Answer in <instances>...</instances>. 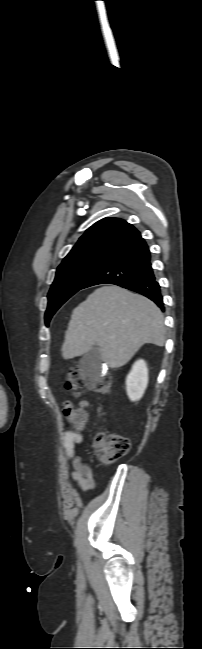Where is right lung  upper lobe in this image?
Wrapping results in <instances>:
<instances>
[{"mask_svg":"<svg viewBox=\"0 0 202 649\" xmlns=\"http://www.w3.org/2000/svg\"><path fill=\"white\" fill-rule=\"evenodd\" d=\"M143 240L140 232L126 221L104 218L86 230L65 258L88 252H108L116 255Z\"/></svg>","mask_w":202,"mask_h":649,"instance_id":"obj_1","label":"right lung upper lobe"}]
</instances>
